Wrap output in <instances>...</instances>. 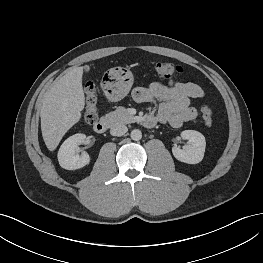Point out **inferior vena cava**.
Here are the masks:
<instances>
[{
  "mask_svg": "<svg viewBox=\"0 0 263 263\" xmlns=\"http://www.w3.org/2000/svg\"><path fill=\"white\" fill-rule=\"evenodd\" d=\"M128 131L124 124H116L110 129V134L113 136H122Z\"/></svg>",
  "mask_w": 263,
  "mask_h": 263,
  "instance_id": "1",
  "label": "inferior vena cava"
}]
</instances>
